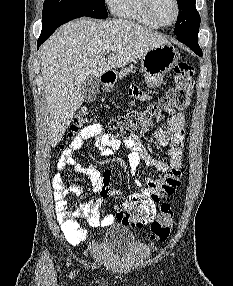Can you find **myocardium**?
<instances>
[{
  "mask_svg": "<svg viewBox=\"0 0 233 286\" xmlns=\"http://www.w3.org/2000/svg\"><path fill=\"white\" fill-rule=\"evenodd\" d=\"M145 1V8H146V11L149 15V17L155 22V24L158 26V27H169L173 24H175L180 16V5H179V2L178 0H173V3L175 5V17L174 19L168 23V24H163L161 22H159L154 14V9H153V6H154V0H144Z\"/></svg>",
  "mask_w": 233,
  "mask_h": 286,
  "instance_id": "obj_1",
  "label": "myocardium"
}]
</instances>
